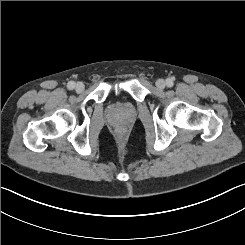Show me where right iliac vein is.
I'll use <instances>...</instances> for the list:
<instances>
[{
	"label": "right iliac vein",
	"instance_id": "1",
	"mask_svg": "<svg viewBox=\"0 0 245 245\" xmlns=\"http://www.w3.org/2000/svg\"><path fill=\"white\" fill-rule=\"evenodd\" d=\"M84 89H85V86H84V84H83L82 82H78V83L75 85V91H76L77 93L83 92Z\"/></svg>",
	"mask_w": 245,
	"mask_h": 245
}]
</instances>
